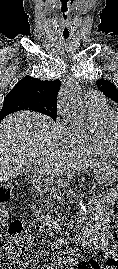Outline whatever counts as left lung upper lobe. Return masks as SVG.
Wrapping results in <instances>:
<instances>
[{
    "mask_svg": "<svg viewBox=\"0 0 118 269\" xmlns=\"http://www.w3.org/2000/svg\"><path fill=\"white\" fill-rule=\"evenodd\" d=\"M96 85L106 96L118 102V90L113 83L107 80H98Z\"/></svg>",
    "mask_w": 118,
    "mask_h": 269,
    "instance_id": "obj_1",
    "label": "left lung upper lobe"
}]
</instances>
